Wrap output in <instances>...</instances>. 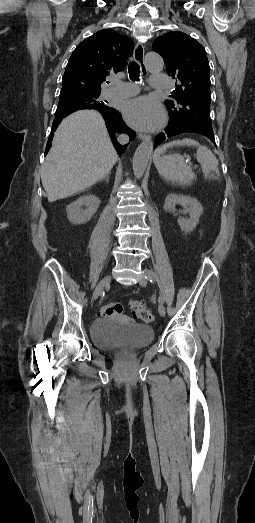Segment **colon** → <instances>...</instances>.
Masks as SVG:
<instances>
[{"label": "colon", "instance_id": "1", "mask_svg": "<svg viewBox=\"0 0 255 523\" xmlns=\"http://www.w3.org/2000/svg\"><path fill=\"white\" fill-rule=\"evenodd\" d=\"M129 307L137 318L142 320L143 322L150 323L154 320V315L151 311H149L144 302L140 300H132L129 303ZM123 311V306L121 303L118 302H111L106 304L100 314L103 316H112V315H118L121 314Z\"/></svg>", "mask_w": 255, "mask_h": 523}]
</instances>
